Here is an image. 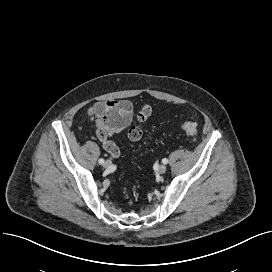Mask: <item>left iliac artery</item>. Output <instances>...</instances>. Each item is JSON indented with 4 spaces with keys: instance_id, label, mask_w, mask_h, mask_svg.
I'll use <instances>...</instances> for the list:
<instances>
[{
    "instance_id": "obj_1",
    "label": "left iliac artery",
    "mask_w": 272,
    "mask_h": 272,
    "mask_svg": "<svg viewBox=\"0 0 272 272\" xmlns=\"http://www.w3.org/2000/svg\"><path fill=\"white\" fill-rule=\"evenodd\" d=\"M162 162H163V164H167V163H168V159L164 158V159L162 160Z\"/></svg>"
}]
</instances>
